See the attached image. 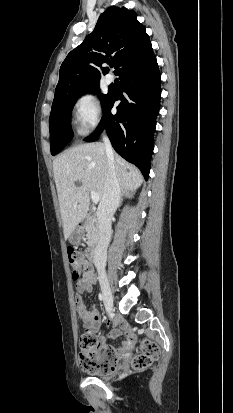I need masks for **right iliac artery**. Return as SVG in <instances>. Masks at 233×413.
<instances>
[{
	"instance_id": "obj_1",
	"label": "right iliac artery",
	"mask_w": 233,
	"mask_h": 413,
	"mask_svg": "<svg viewBox=\"0 0 233 413\" xmlns=\"http://www.w3.org/2000/svg\"><path fill=\"white\" fill-rule=\"evenodd\" d=\"M103 299H104V297H103V295L100 293V294H99V300L102 301Z\"/></svg>"
}]
</instances>
